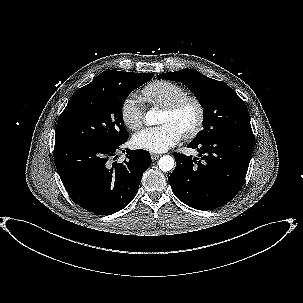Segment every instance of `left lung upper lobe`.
Segmentation results:
<instances>
[{
    "label": "left lung upper lobe",
    "instance_id": "obj_1",
    "mask_svg": "<svg viewBox=\"0 0 303 303\" xmlns=\"http://www.w3.org/2000/svg\"><path fill=\"white\" fill-rule=\"evenodd\" d=\"M158 79L182 82L204 108L203 130L192 142L226 135H253L246 103L224 82L192 69L163 73Z\"/></svg>",
    "mask_w": 303,
    "mask_h": 303
}]
</instances>
